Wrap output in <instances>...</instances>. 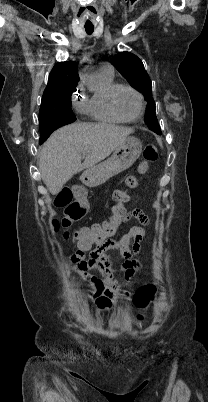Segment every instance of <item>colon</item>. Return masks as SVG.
Returning <instances> with one entry per match:
<instances>
[{"instance_id": "colon-1", "label": "colon", "mask_w": 208, "mask_h": 402, "mask_svg": "<svg viewBox=\"0 0 208 402\" xmlns=\"http://www.w3.org/2000/svg\"><path fill=\"white\" fill-rule=\"evenodd\" d=\"M158 157V148L153 143H148L144 147L143 159L144 168L154 163ZM141 169L143 172L145 169ZM138 177L135 175L128 176L125 179V186L119 187L112 192L113 206L112 214L109 218L92 224L91 226L81 228L75 232L70 230L74 222H82L83 214L90 211L87 205H72L69 204L64 210V215L61 219L55 220L53 225L56 228L62 227V236L67 241H73L79 248L74 249V254L69 253L67 258L70 262L80 263L85 259V251L92 248L93 244H101L106 239L107 235H115L119 227L126 219L125 204L128 200V193L137 188ZM76 194H85L86 190L82 184H77L74 187ZM94 261V260H93ZM155 287L152 284L141 286L135 294L134 304L143 309L146 304L153 298ZM96 304L99 309L104 310L114 305L113 300L109 296H102L96 299ZM111 310V309H110Z\"/></svg>"}]
</instances>
